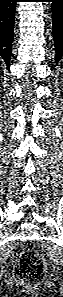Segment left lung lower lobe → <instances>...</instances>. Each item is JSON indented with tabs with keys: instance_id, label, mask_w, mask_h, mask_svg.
<instances>
[{
	"instance_id": "1",
	"label": "left lung lower lobe",
	"mask_w": 63,
	"mask_h": 297,
	"mask_svg": "<svg viewBox=\"0 0 63 297\" xmlns=\"http://www.w3.org/2000/svg\"><path fill=\"white\" fill-rule=\"evenodd\" d=\"M52 2V22L55 42L56 63L63 58V0H47Z\"/></svg>"
}]
</instances>
